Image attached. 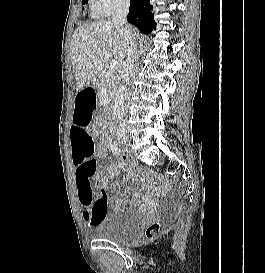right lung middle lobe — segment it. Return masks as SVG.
Instances as JSON below:
<instances>
[{"instance_id": "dd1d6c3e", "label": "right lung middle lobe", "mask_w": 265, "mask_h": 273, "mask_svg": "<svg viewBox=\"0 0 265 273\" xmlns=\"http://www.w3.org/2000/svg\"><path fill=\"white\" fill-rule=\"evenodd\" d=\"M88 0H82V4H86Z\"/></svg>"}]
</instances>
